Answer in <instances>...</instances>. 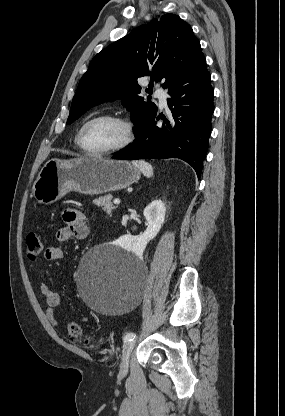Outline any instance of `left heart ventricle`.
Returning a JSON list of instances; mask_svg holds the SVG:
<instances>
[{
  "label": "left heart ventricle",
  "instance_id": "1",
  "mask_svg": "<svg viewBox=\"0 0 285 416\" xmlns=\"http://www.w3.org/2000/svg\"><path fill=\"white\" fill-rule=\"evenodd\" d=\"M122 137L123 133L120 126L107 119H99L91 122L83 132L85 146L95 151L115 147L120 143Z\"/></svg>",
  "mask_w": 285,
  "mask_h": 416
}]
</instances>
